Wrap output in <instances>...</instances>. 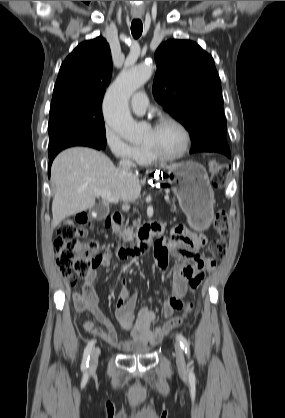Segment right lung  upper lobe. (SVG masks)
Returning <instances> with one entry per match:
<instances>
[{
  "mask_svg": "<svg viewBox=\"0 0 285 418\" xmlns=\"http://www.w3.org/2000/svg\"><path fill=\"white\" fill-rule=\"evenodd\" d=\"M111 75L112 59L107 41L101 36L84 41L62 63L51 104L102 105Z\"/></svg>",
  "mask_w": 285,
  "mask_h": 418,
  "instance_id": "obj_1",
  "label": "right lung upper lobe"
}]
</instances>
